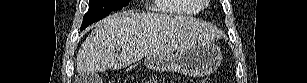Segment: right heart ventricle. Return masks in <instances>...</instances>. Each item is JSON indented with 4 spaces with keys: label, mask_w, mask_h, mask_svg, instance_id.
Returning <instances> with one entry per match:
<instances>
[{
    "label": "right heart ventricle",
    "mask_w": 307,
    "mask_h": 83,
    "mask_svg": "<svg viewBox=\"0 0 307 83\" xmlns=\"http://www.w3.org/2000/svg\"><path fill=\"white\" fill-rule=\"evenodd\" d=\"M157 8L166 14H194L196 6L190 0H158Z\"/></svg>",
    "instance_id": "obj_1"
}]
</instances>
